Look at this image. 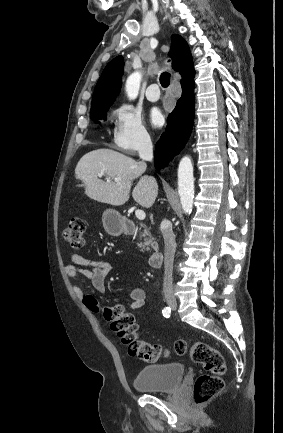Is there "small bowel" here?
I'll use <instances>...</instances> for the list:
<instances>
[{
  "instance_id": "c3829d8e",
  "label": "small bowel",
  "mask_w": 283,
  "mask_h": 433,
  "mask_svg": "<svg viewBox=\"0 0 283 433\" xmlns=\"http://www.w3.org/2000/svg\"><path fill=\"white\" fill-rule=\"evenodd\" d=\"M69 264L65 266L68 277L76 278L81 275L91 280L94 289L103 294L105 291V279L112 270V266L106 261H95L84 258L77 254L68 256ZM73 291L77 297H82L83 293L79 286H74ZM129 309L132 311L142 310L145 305L146 293L143 288L135 287L129 294Z\"/></svg>"
}]
</instances>
